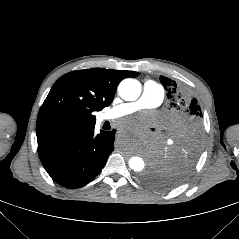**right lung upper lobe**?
I'll use <instances>...</instances> for the list:
<instances>
[{
	"label": "right lung upper lobe",
	"instance_id": "right-lung-upper-lobe-1",
	"mask_svg": "<svg viewBox=\"0 0 239 239\" xmlns=\"http://www.w3.org/2000/svg\"><path fill=\"white\" fill-rule=\"evenodd\" d=\"M138 75L134 71L92 68L60 77L37 117L38 146L93 128V112L111 104L120 81Z\"/></svg>",
	"mask_w": 239,
	"mask_h": 239
}]
</instances>
